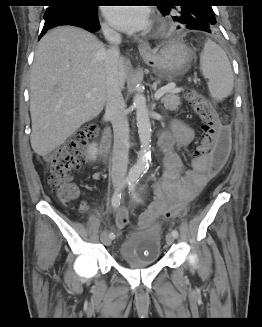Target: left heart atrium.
Listing matches in <instances>:
<instances>
[{"instance_id":"obj_1","label":"left heart atrium","mask_w":262,"mask_h":327,"mask_svg":"<svg viewBox=\"0 0 262 327\" xmlns=\"http://www.w3.org/2000/svg\"><path fill=\"white\" fill-rule=\"evenodd\" d=\"M104 14L114 27L124 32L143 30L150 23L149 10L142 5H113L105 8Z\"/></svg>"}]
</instances>
